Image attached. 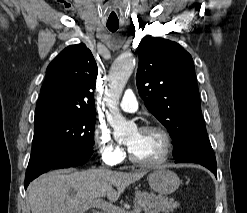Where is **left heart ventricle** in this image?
<instances>
[{"mask_svg":"<svg viewBox=\"0 0 247 213\" xmlns=\"http://www.w3.org/2000/svg\"><path fill=\"white\" fill-rule=\"evenodd\" d=\"M132 154L144 162H153L161 157L164 142L161 135L152 131H134L126 140Z\"/></svg>","mask_w":247,"mask_h":213,"instance_id":"left-heart-ventricle-1","label":"left heart ventricle"}]
</instances>
